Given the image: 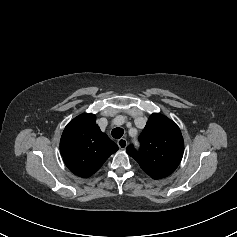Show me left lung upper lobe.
Returning a JSON list of instances; mask_svg holds the SVG:
<instances>
[{
  "label": "left lung upper lobe",
  "mask_w": 237,
  "mask_h": 237,
  "mask_svg": "<svg viewBox=\"0 0 237 237\" xmlns=\"http://www.w3.org/2000/svg\"><path fill=\"white\" fill-rule=\"evenodd\" d=\"M141 147L132 145L127 153L133 157L150 177H167L178 167L184 151L179 127L164 115L153 113L139 138Z\"/></svg>",
  "instance_id": "5c2ea615"
}]
</instances>
